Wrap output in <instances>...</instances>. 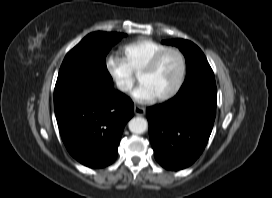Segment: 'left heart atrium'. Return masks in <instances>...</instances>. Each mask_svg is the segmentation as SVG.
<instances>
[{
    "label": "left heart atrium",
    "instance_id": "39dd6f15",
    "mask_svg": "<svg viewBox=\"0 0 272 198\" xmlns=\"http://www.w3.org/2000/svg\"><path fill=\"white\" fill-rule=\"evenodd\" d=\"M131 96L138 102H149L155 98L153 92L143 83L132 91Z\"/></svg>",
    "mask_w": 272,
    "mask_h": 198
}]
</instances>
